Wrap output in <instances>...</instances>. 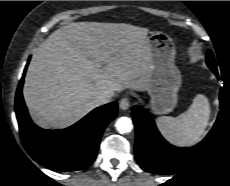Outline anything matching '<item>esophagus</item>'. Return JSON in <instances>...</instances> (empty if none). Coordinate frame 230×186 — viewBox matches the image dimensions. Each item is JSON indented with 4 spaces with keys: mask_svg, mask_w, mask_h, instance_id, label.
Instances as JSON below:
<instances>
[{
    "mask_svg": "<svg viewBox=\"0 0 230 186\" xmlns=\"http://www.w3.org/2000/svg\"><path fill=\"white\" fill-rule=\"evenodd\" d=\"M130 106V102L128 100V98L124 97L119 101V107L122 110H127Z\"/></svg>",
    "mask_w": 230,
    "mask_h": 186,
    "instance_id": "obj_1",
    "label": "esophagus"
}]
</instances>
